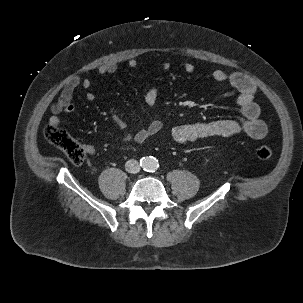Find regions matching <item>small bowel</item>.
Masks as SVG:
<instances>
[{"mask_svg": "<svg viewBox=\"0 0 303 303\" xmlns=\"http://www.w3.org/2000/svg\"><path fill=\"white\" fill-rule=\"evenodd\" d=\"M129 68H136L138 62L136 59H129L127 62ZM117 64L114 62L105 63L98 68L100 75L114 74L117 71ZM162 69L169 71L171 64L169 61L162 63ZM183 70L187 74L194 72V66L191 63H186ZM216 81L213 87L215 91L231 90L236 93V102L241 109V120H217L204 123L183 124L173 128L172 137L180 144H187L199 139L209 137H230L233 135L244 133L253 139H262L267 134V126L263 120L259 118L260 108L255 102V84L242 73H228L223 70H215L212 73ZM92 81L90 78L75 77L69 80L63 87L58 100L52 104L49 123L54 125L60 124L59 115L63 113H72L75 110L73 96L75 90L79 87L84 89L90 88ZM159 96V88L157 85L150 86L145 94L144 101L148 106H154ZM87 101H94L95 94L87 92L85 94ZM112 121L117 127L129 131L127 122L119 115L115 108L110 109ZM163 127V123L159 119L152 120L146 128L137 131L129 132L127 139H133L138 143L144 142L149 137L157 134ZM88 154L94 153L92 145H86Z\"/></svg>", "mask_w": 303, "mask_h": 303, "instance_id": "1", "label": "small bowel"}]
</instances>
